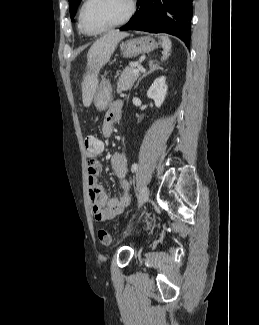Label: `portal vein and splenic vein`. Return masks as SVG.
<instances>
[{"instance_id":"1","label":"portal vein and splenic vein","mask_w":259,"mask_h":325,"mask_svg":"<svg viewBox=\"0 0 259 325\" xmlns=\"http://www.w3.org/2000/svg\"><path fill=\"white\" fill-rule=\"evenodd\" d=\"M139 71H140V67L135 68V69L133 70V72L136 73V74L139 73Z\"/></svg>"}]
</instances>
